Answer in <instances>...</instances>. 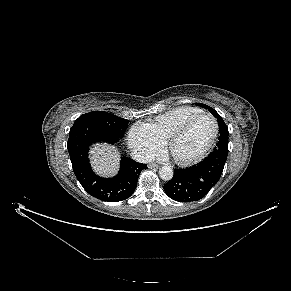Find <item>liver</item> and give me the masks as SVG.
Here are the masks:
<instances>
[{"label":"liver","mask_w":291,"mask_h":291,"mask_svg":"<svg viewBox=\"0 0 291 291\" xmlns=\"http://www.w3.org/2000/svg\"><path fill=\"white\" fill-rule=\"evenodd\" d=\"M92 164L95 170L104 175L115 172L118 162V154L115 147L97 145L91 151Z\"/></svg>","instance_id":"1"}]
</instances>
